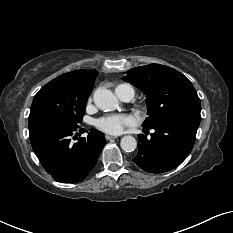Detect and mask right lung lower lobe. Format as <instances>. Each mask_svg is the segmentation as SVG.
<instances>
[{
    "instance_id": "right-lung-lower-lobe-1",
    "label": "right lung lower lobe",
    "mask_w": 233,
    "mask_h": 233,
    "mask_svg": "<svg viewBox=\"0 0 233 233\" xmlns=\"http://www.w3.org/2000/svg\"><path fill=\"white\" fill-rule=\"evenodd\" d=\"M77 127L54 121H39L29 126L31 146L43 168L56 181L74 183L83 180L94 168L105 145L104 134L92 129L87 138L75 143L71 136Z\"/></svg>"
}]
</instances>
